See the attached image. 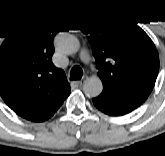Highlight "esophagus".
<instances>
[{
	"mask_svg": "<svg viewBox=\"0 0 165 156\" xmlns=\"http://www.w3.org/2000/svg\"><path fill=\"white\" fill-rule=\"evenodd\" d=\"M78 86H82L84 83V79L76 81Z\"/></svg>",
	"mask_w": 165,
	"mask_h": 156,
	"instance_id": "34e87169",
	"label": "esophagus"
}]
</instances>
